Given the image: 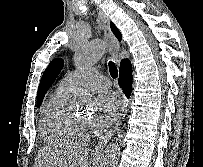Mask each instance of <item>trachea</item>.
Instances as JSON below:
<instances>
[{
  "mask_svg": "<svg viewBox=\"0 0 203 167\" xmlns=\"http://www.w3.org/2000/svg\"><path fill=\"white\" fill-rule=\"evenodd\" d=\"M108 65H109V72H110V75L112 76V78H114V79L117 78L118 70H117L115 63L112 61H109Z\"/></svg>",
  "mask_w": 203,
  "mask_h": 167,
  "instance_id": "trachea-1",
  "label": "trachea"
}]
</instances>
